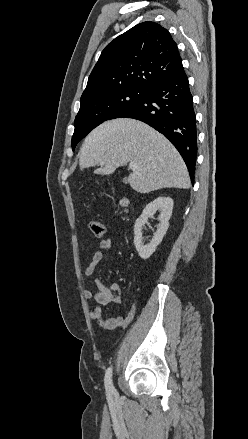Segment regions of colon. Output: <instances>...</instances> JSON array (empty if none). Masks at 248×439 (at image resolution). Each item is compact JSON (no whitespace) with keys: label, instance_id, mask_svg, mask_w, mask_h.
I'll return each mask as SVG.
<instances>
[{"label":"colon","instance_id":"colon-1","mask_svg":"<svg viewBox=\"0 0 248 439\" xmlns=\"http://www.w3.org/2000/svg\"><path fill=\"white\" fill-rule=\"evenodd\" d=\"M89 229L91 233L97 238H101L105 233V227L103 223L96 219L90 221Z\"/></svg>","mask_w":248,"mask_h":439}]
</instances>
